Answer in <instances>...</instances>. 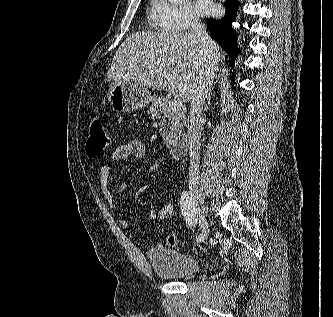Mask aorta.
Segmentation results:
<instances>
[{"mask_svg":"<svg viewBox=\"0 0 333 317\" xmlns=\"http://www.w3.org/2000/svg\"><path fill=\"white\" fill-rule=\"evenodd\" d=\"M183 0H169V2L171 3V4H179V3H181Z\"/></svg>","mask_w":333,"mask_h":317,"instance_id":"1","label":"aorta"}]
</instances>
